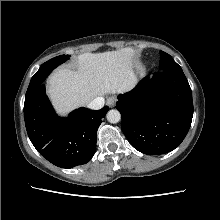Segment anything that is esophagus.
<instances>
[{
	"label": "esophagus",
	"instance_id": "esophagus-1",
	"mask_svg": "<svg viewBox=\"0 0 220 220\" xmlns=\"http://www.w3.org/2000/svg\"><path fill=\"white\" fill-rule=\"evenodd\" d=\"M116 98H113V97H111V98H108L107 99V102H106V104L109 106V107H114L115 106V104H116Z\"/></svg>",
	"mask_w": 220,
	"mask_h": 220
}]
</instances>
